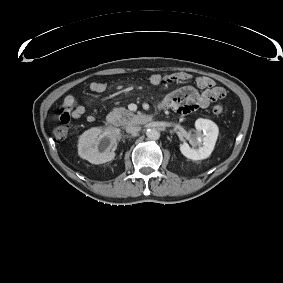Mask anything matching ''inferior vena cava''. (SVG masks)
<instances>
[{
	"label": "inferior vena cava",
	"instance_id": "602c4592",
	"mask_svg": "<svg viewBox=\"0 0 283 283\" xmlns=\"http://www.w3.org/2000/svg\"><path fill=\"white\" fill-rule=\"evenodd\" d=\"M140 129H141V128H140L139 126L128 125V126L126 127V132L133 134V133L139 132Z\"/></svg>",
	"mask_w": 283,
	"mask_h": 283
}]
</instances>
